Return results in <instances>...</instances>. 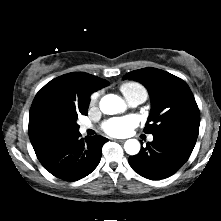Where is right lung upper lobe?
Returning a JSON list of instances; mask_svg holds the SVG:
<instances>
[{
    "label": "right lung upper lobe",
    "instance_id": "right-lung-upper-lobe-1",
    "mask_svg": "<svg viewBox=\"0 0 221 221\" xmlns=\"http://www.w3.org/2000/svg\"><path fill=\"white\" fill-rule=\"evenodd\" d=\"M108 85L105 79L73 72L53 79L36 94L28 132L38 158L63 138L79 132L74 117L87 115L90 94Z\"/></svg>",
    "mask_w": 221,
    "mask_h": 221
}]
</instances>
